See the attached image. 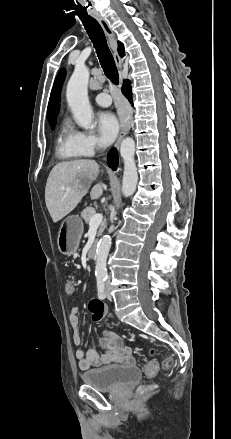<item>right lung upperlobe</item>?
Segmentation results:
<instances>
[{
	"label": "right lung upper lobe",
	"mask_w": 231,
	"mask_h": 439,
	"mask_svg": "<svg viewBox=\"0 0 231 439\" xmlns=\"http://www.w3.org/2000/svg\"><path fill=\"white\" fill-rule=\"evenodd\" d=\"M118 52L120 54V56H124V46L121 42H118ZM65 78V71L62 70L55 82H54V86L50 95V99H49V104H48V109H47V118L49 121V124L51 127L55 126L56 124V116L58 114L59 111V94H60V90H61V86L63 83V80Z\"/></svg>",
	"instance_id": "1"
}]
</instances>
